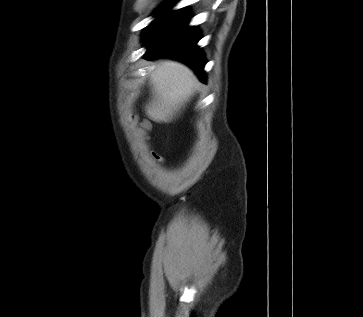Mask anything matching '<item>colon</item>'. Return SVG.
Here are the masks:
<instances>
[{"label":"colon","instance_id":"obj_1","mask_svg":"<svg viewBox=\"0 0 363 317\" xmlns=\"http://www.w3.org/2000/svg\"><path fill=\"white\" fill-rule=\"evenodd\" d=\"M143 128H147L148 127V124L147 123H143Z\"/></svg>","mask_w":363,"mask_h":317}]
</instances>
